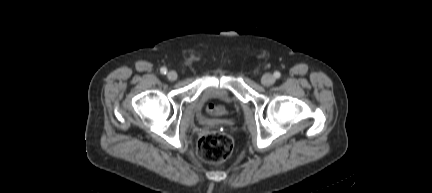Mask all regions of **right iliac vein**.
<instances>
[{"label":"right iliac vein","instance_id":"right-iliac-vein-1","mask_svg":"<svg viewBox=\"0 0 432 193\" xmlns=\"http://www.w3.org/2000/svg\"><path fill=\"white\" fill-rule=\"evenodd\" d=\"M167 78H168L170 81H174V80L177 79V73H176L175 71H170V72H168V74H167Z\"/></svg>","mask_w":432,"mask_h":193}]
</instances>
